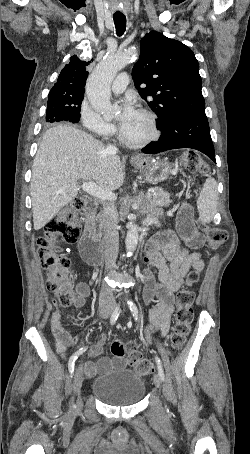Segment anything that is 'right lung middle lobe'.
I'll use <instances>...</instances> for the list:
<instances>
[{
    "mask_svg": "<svg viewBox=\"0 0 250 454\" xmlns=\"http://www.w3.org/2000/svg\"><path fill=\"white\" fill-rule=\"evenodd\" d=\"M83 97L69 99L48 96L46 110V122L53 123L59 121H69L78 123L80 119V109Z\"/></svg>",
    "mask_w": 250,
    "mask_h": 454,
    "instance_id": "obj_1",
    "label": "right lung middle lobe"
}]
</instances>
